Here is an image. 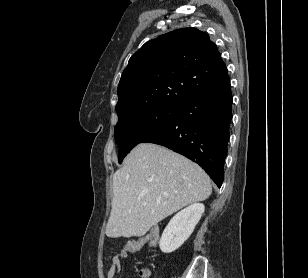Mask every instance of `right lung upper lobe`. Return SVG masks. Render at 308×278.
I'll return each instance as SVG.
<instances>
[{
  "mask_svg": "<svg viewBox=\"0 0 308 278\" xmlns=\"http://www.w3.org/2000/svg\"><path fill=\"white\" fill-rule=\"evenodd\" d=\"M227 81V68L207 33L174 30L131 56L118 85L116 112L122 120L151 107H178Z\"/></svg>",
  "mask_w": 308,
  "mask_h": 278,
  "instance_id": "1",
  "label": "right lung upper lobe"
}]
</instances>
